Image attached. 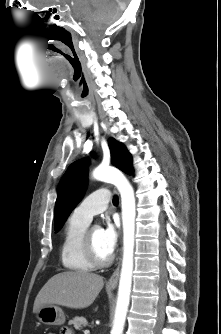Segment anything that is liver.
<instances>
[{
  "instance_id": "6515ba94",
  "label": "liver",
  "mask_w": 221,
  "mask_h": 334,
  "mask_svg": "<svg viewBox=\"0 0 221 334\" xmlns=\"http://www.w3.org/2000/svg\"><path fill=\"white\" fill-rule=\"evenodd\" d=\"M104 286L103 277L82 271H67L50 278L39 291L33 307L36 313L47 305L73 309L90 306Z\"/></svg>"
}]
</instances>
